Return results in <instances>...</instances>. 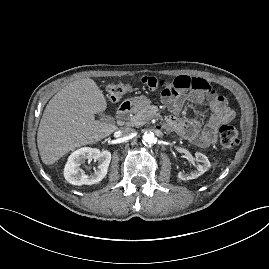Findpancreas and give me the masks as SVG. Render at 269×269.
I'll list each match as a JSON object with an SVG mask.
<instances>
[{
    "instance_id": "1",
    "label": "pancreas",
    "mask_w": 269,
    "mask_h": 269,
    "mask_svg": "<svg viewBox=\"0 0 269 269\" xmlns=\"http://www.w3.org/2000/svg\"><path fill=\"white\" fill-rule=\"evenodd\" d=\"M157 110L152 109L151 106L141 108L134 116L129 118L128 125L141 126L147 123L156 115Z\"/></svg>"
}]
</instances>
